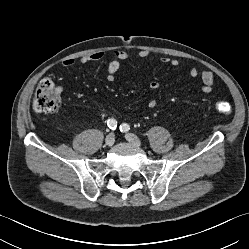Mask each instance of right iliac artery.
Listing matches in <instances>:
<instances>
[{"mask_svg": "<svg viewBox=\"0 0 249 249\" xmlns=\"http://www.w3.org/2000/svg\"><path fill=\"white\" fill-rule=\"evenodd\" d=\"M107 125L110 129L115 130L117 127V121L113 118L107 120Z\"/></svg>", "mask_w": 249, "mask_h": 249, "instance_id": "right-iliac-artery-1", "label": "right iliac artery"}]
</instances>
